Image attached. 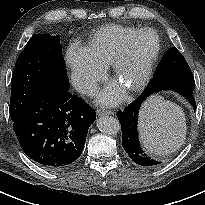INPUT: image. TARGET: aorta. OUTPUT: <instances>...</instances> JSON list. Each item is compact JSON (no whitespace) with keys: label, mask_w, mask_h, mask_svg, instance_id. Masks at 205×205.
<instances>
[{"label":"aorta","mask_w":205,"mask_h":205,"mask_svg":"<svg viewBox=\"0 0 205 205\" xmlns=\"http://www.w3.org/2000/svg\"><path fill=\"white\" fill-rule=\"evenodd\" d=\"M97 128L104 134L112 135L120 130V123L112 116H103L98 119Z\"/></svg>","instance_id":"1"}]
</instances>
